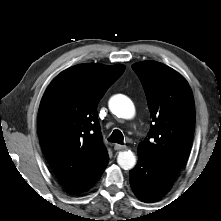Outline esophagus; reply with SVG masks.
Masks as SVG:
<instances>
[{
    "instance_id": "1",
    "label": "esophagus",
    "mask_w": 221,
    "mask_h": 221,
    "mask_svg": "<svg viewBox=\"0 0 221 221\" xmlns=\"http://www.w3.org/2000/svg\"><path fill=\"white\" fill-rule=\"evenodd\" d=\"M114 149L115 150H123V149H126V146L125 145H120V144H115Z\"/></svg>"
}]
</instances>
